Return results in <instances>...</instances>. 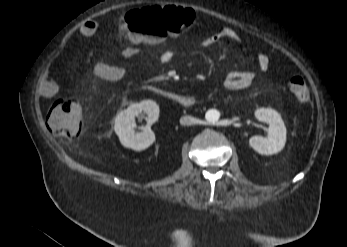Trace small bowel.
<instances>
[{
    "label": "small bowel",
    "instance_id": "1",
    "mask_svg": "<svg viewBox=\"0 0 347 247\" xmlns=\"http://www.w3.org/2000/svg\"><path fill=\"white\" fill-rule=\"evenodd\" d=\"M97 28L98 24L95 20H87L77 29V33L82 37H90L97 31ZM224 40L240 44L242 38L236 30L225 27L206 37L202 43L205 47H211ZM139 44L140 41L132 40L131 45L124 46L121 49L122 56L132 58L139 55L140 50L137 47ZM173 58L174 53L171 50H165L159 55V60L162 63H170ZM256 61L261 71H267L269 69L270 59L266 54H258ZM93 71L98 78L111 82L125 79L129 75V68L103 61H96L93 65ZM255 81L256 75L253 71H231L225 76L224 85L230 91H238L252 86ZM39 87L42 94L46 97H51L58 91V84L52 79L48 71L42 74Z\"/></svg>",
    "mask_w": 347,
    "mask_h": 247
}]
</instances>
